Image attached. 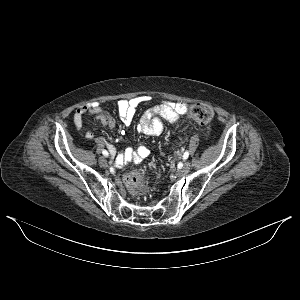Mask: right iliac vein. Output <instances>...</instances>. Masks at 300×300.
<instances>
[{"mask_svg": "<svg viewBox=\"0 0 300 300\" xmlns=\"http://www.w3.org/2000/svg\"><path fill=\"white\" fill-rule=\"evenodd\" d=\"M99 164L102 166V167H107L108 163H107V160L105 157H100L99 158Z\"/></svg>", "mask_w": 300, "mask_h": 300, "instance_id": "right-iliac-vein-1", "label": "right iliac vein"}]
</instances>
